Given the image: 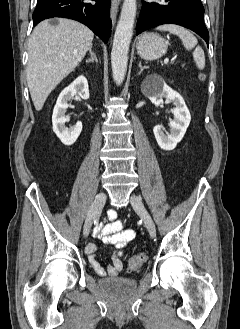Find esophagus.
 Masks as SVG:
<instances>
[{
	"label": "esophagus",
	"instance_id": "obj_1",
	"mask_svg": "<svg viewBox=\"0 0 240 329\" xmlns=\"http://www.w3.org/2000/svg\"><path fill=\"white\" fill-rule=\"evenodd\" d=\"M119 3H120V0H111V20H112L113 25L116 22Z\"/></svg>",
	"mask_w": 240,
	"mask_h": 329
}]
</instances>
